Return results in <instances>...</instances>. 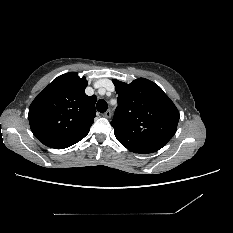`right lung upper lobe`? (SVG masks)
I'll return each mask as SVG.
<instances>
[{"label":"right lung upper lobe","mask_w":233,"mask_h":233,"mask_svg":"<svg viewBox=\"0 0 233 233\" xmlns=\"http://www.w3.org/2000/svg\"><path fill=\"white\" fill-rule=\"evenodd\" d=\"M85 77L70 72L54 79L29 107V124L44 145L67 148L83 139L96 116V96H87Z\"/></svg>","instance_id":"obj_1"}]
</instances>
